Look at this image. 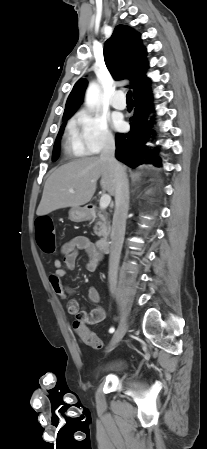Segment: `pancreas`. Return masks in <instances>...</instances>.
<instances>
[{
  "mask_svg": "<svg viewBox=\"0 0 207 449\" xmlns=\"http://www.w3.org/2000/svg\"><path fill=\"white\" fill-rule=\"evenodd\" d=\"M98 218L94 226V233L99 237H107L110 232V222L107 220L106 213L98 212L93 215V221Z\"/></svg>",
  "mask_w": 207,
  "mask_h": 449,
  "instance_id": "cf45deb5",
  "label": "pancreas"
}]
</instances>
